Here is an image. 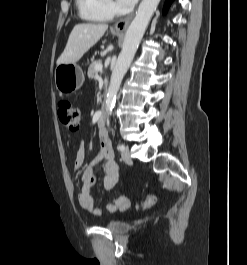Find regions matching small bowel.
Listing matches in <instances>:
<instances>
[{
    "mask_svg": "<svg viewBox=\"0 0 247 265\" xmlns=\"http://www.w3.org/2000/svg\"><path fill=\"white\" fill-rule=\"evenodd\" d=\"M99 142V153L87 164V166L83 170L81 176V188L77 196L78 202L81 207L97 216L102 214V209L95 204L94 198L91 194V187L97 181V176L95 173L96 166L101 161H104L102 178V188L104 190L108 191L113 189L117 185L120 178V168L117 162L114 160V152L111 140L106 129L102 128L99 130ZM84 158V142L81 141L75 159L76 170H79L82 167ZM129 206L130 200L127 197H121L118 199L110 200L106 204V210L110 213H114L117 211H124Z\"/></svg>",
    "mask_w": 247,
    "mask_h": 265,
    "instance_id": "1",
    "label": "small bowel"
}]
</instances>
